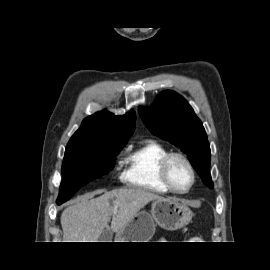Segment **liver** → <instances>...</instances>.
<instances>
[{
    "label": "liver",
    "mask_w": 270,
    "mask_h": 270,
    "mask_svg": "<svg viewBox=\"0 0 270 270\" xmlns=\"http://www.w3.org/2000/svg\"><path fill=\"white\" fill-rule=\"evenodd\" d=\"M103 195L94 198L96 194ZM161 196L144 189L98 190L84 195L61 215L64 242H99V236L112 216L110 229L118 232L150 201Z\"/></svg>",
    "instance_id": "obj_1"
}]
</instances>
